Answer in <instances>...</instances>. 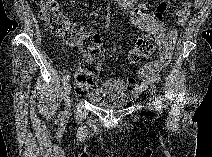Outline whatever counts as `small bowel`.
<instances>
[{"label": "small bowel", "instance_id": "1", "mask_svg": "<svg viewBox=\"0 0 212 157\" xmlns=\"http://www.w3.org/2000/svg\"><path fill=\"white\" fill-rule=\"evenodd\" d=\"M197 4H199V1H183L182 6L175 15L176 23L180 26L185 25L192 7ZM118 5L129 13L130 21L134 27L144 32L150 30L160 31L164 33L165 40L161 45L159 58L144 64L139 69V79L133 76H128L124 79H107L98 90L89 95L91 102H96L101 97L112 93L123 94L129 92L134 96L141 94L159 81L161 70L170 63L172 58L174 44L177 38V30L175 28H170L168 31H165L162 23L148 14L147 5L145 3H137L134 0H119ZM75 13L84 15L90 20L88 13L82 9L75 10Z\"/></svg>", "mask_w": 212, "mask_h": 157}]
</instances>
